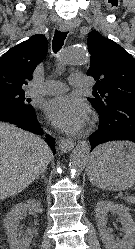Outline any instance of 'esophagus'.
<instances>
[{
    "label": "esophagus",
    "instance_id": "esophagus-1",
    "mask_svg": "<svg viewBox=\"0 0 135 249\" xmlns=\"http://www.w3.org/2000/svg\"><path fill=\"white\" fill-rule=\"evenodd\" d=\"M60 30L63 32H71L72 31V26L70 23L68 22H64L60 25ZM74 141L73 140H69V139H61L59 141V149L64 152L67 153L69 151H71L74 147Z\"/></svg>",
    "mask_w": 135,
    "mask_h": 249
}]
</instances>
